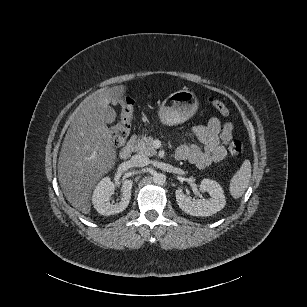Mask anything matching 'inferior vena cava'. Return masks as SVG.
Listing matches in <instances>:
<instances>
[{
	"mask_svg": "<svg viewBox=\"0 0 307 307\" xmlns=\"http://www.w3.org/2000/svg\"><path fill=\"white\" fill-rule=\"evenodd\" d=\"M131 162L136 167H144V166L148 165L149 159H148V157H146L144 155L136 154V155L132 156Z\"/></svg>",
	"mask_w": 307,
	"mask_h": 307,
	"instance_id": "inferior-vena-cava-1",
	"label": "inferior vena cava"
}]
</instances>
